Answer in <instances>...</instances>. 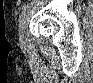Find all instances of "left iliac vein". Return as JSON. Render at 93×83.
I'll use <instances>...</instances> for the list:
<instances>
[{
	"label": "left iliac vein",
	"instance_id": "4c4485c4",
	"mask_svg": "<svg viewBox=\"0 0 93 83\" xmlns=\"http://www.w3.org/2000/svg\"><path fill=\"white\" fill-rule=\"evenodd\" d=\"M19 37H20V42L23 43L24 42V22L23 21L19 26Z\"/></svg>",
	"mask_w": 93,
	"mask_h": 83
}]
</instances>
